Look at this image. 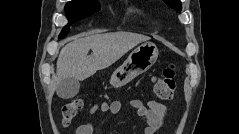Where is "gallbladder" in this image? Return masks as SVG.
Returning a JSON list of instances; mask_svg holds the SVG:
<instances>
[{
	"label": "gallbladder",
	"instance_id": "bac80fb5",
	"mask_svg": "<svg viewBox=\"0 0 239 134\" xmlns=\"http://www.w3.org/2000/svg\"><path fill=\"white\" fill-rule=\"evenodd\" d=\"M80 89V82L75 78H65L57 84L56 92L60 98L74 97Z\"/></svg>",
	"mask_w": 239,
	"mask_h": 134
}]
</instances>
